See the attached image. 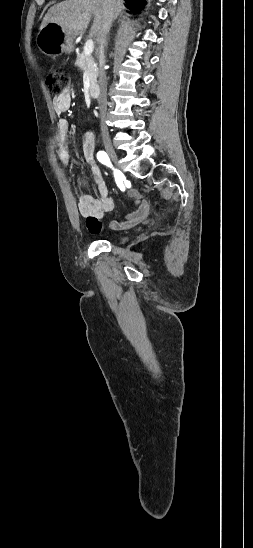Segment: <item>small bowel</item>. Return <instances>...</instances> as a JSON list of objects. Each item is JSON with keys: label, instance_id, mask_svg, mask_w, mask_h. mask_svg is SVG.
<instances>
[{"label": "small bowel", "instance_id": "obj_1", "mask_svg": "<svg viewBox=\"0 0 253 548\" xmlns=\"http://www.w3.org/2000/svg\"><path fill=\"white\" fill-rule=\"evenodd\" d=\"M72 92L66 89L61 94L53 98L54 111L61 115L67 112L71 107ZM69 123L65 118H60L57 123V133L54 137V145L61 163L65 166L70 164V154L67 146ZM95 136L92 131H88L83 139V155L90 167L92 184L95 187L97 198L90 195H80L78 198V210L81 216L86 218L88 230L97 234L101 231V219L105 213L114 209V202L109 195L108 188L104 181L101 168L94 159ZM128 197L134 202V211L126 215L123 220H112L109 227L112 230H123L131 228L142 222L149 214V205L144 200L142 193L131 189L128 191Z\"/></svg>", "mask_w": 253, "mask_h": 548}]
</instances>
